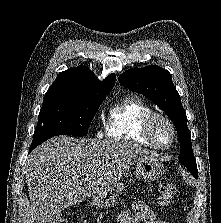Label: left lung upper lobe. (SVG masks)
Listing matches in <instances>:
<instances>
[{"instance_id":"1","label":"left lung upper lobe","mask_w":221,"mask_h":223,"mask_svg":"<svg viewBox=\"0 0 221 223\" xmlns=\"http://www.w3.org/2000/svg\"><path fill=\"white\" fill-rule=\"evenodd\" d=\"M119 82L152 100L176 124L181 147L178 159L195 178H198L186 113L170 73L156 65L132 68L119 76Z\"/></svg>"}]
</instances>
